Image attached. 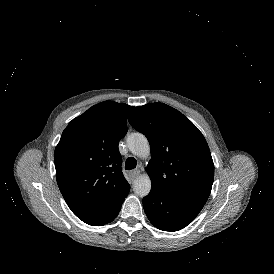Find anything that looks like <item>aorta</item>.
<instances>
[{"label": "aorta", "mask_w": 274, "mask_h": 274, "mask_svg": "<svg viewBox=\"0 0 274 274\" xmlns=\"http://www.w3.org/2000/svg\"><path fill=\"white\" fill-rule=\"evenodd\" d=\"M129 150L138 157H148L150 155V145L147 138L141 133H132L127 137ZM151 190L150 177L145 174L139 176L133 183V191L136 195L144 197Z\"/></svg>", "instance_id": "762f6f07"}]
</instances>
